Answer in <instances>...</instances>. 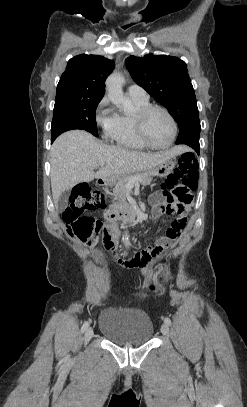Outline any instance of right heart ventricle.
Instances as JSON below:
<instances>
[{
    "label": "right heart ventricle",
    "instance_id": "e07e8e85",
    "mask_svg": "<svg viewBox=\"0 0 247 407\" xmlns=\"http://www.w3.org/2000/svg\"><path fill=\"white\" fill-rule=\"evenodd\" d=\"M131 99L133 105L132 111L114 113V122L108 130L107 136L120 147L144 150L147 147L139 140L136 134L134 116L138 110L148 106L149 101Z\"/></svg>",
    "mask_w": 247,
    "mask_h": 407
}]
</instances>
